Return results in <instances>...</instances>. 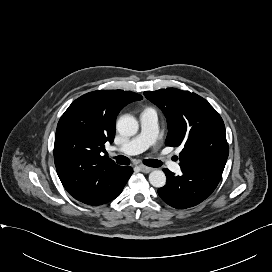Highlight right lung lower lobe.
<instances>
[{"mask_svg":"<svg viewBox=\"0 0 272 272\" xmlns=\"http://www.w3.org/2000/svg\"><path fill=\"white\" fill-rule=\"evenodd\" d=\"M132 173L130 166H120L102 176L94 185L72 196L88 205L107 203L119 196Z\"/></svg>","mask_w":272,"mask_h":272,"instance_id":"obj_1","label":"right lung lower lobe"}]
</instances>
